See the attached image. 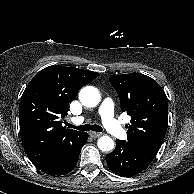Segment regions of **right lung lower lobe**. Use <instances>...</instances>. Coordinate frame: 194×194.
Wrapping results in <instances>:
<instances>
[{
  "label": "right lung lower lobe",
  "mask_w": 194,
  "mask_h": 194,
  "mask_svg": "<svg viewBox=\"0 0 194 194\" xmlns=\"http://www.w3.org/2000/svg\"><path fill=\"white\" fill-rule=\"evenodd\" d=\"M87 139L88 134L82 132L71 145L61 149L48 163L37 168L49 175L60 176L69 173L77 164L80 150L85 145Z\"/></svg>",
  "instance_id": "98d812e1"
}]
</instances>
